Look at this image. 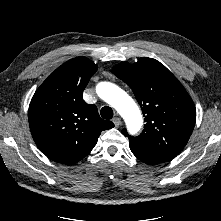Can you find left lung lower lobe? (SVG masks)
Instances as JSON below:
<instances>
[{
	"label": "left lung lower lobe",
	"mask_w": 221,
	"mask_h": 221,
	"mask_svg": "<svg viewBox=\"0 0 221 221\" xmlns=\"http://www.w3.org/2000/svg\"><path fill=\"white\" fill-rule=\"evenodd\" d=\"M130 149L132 153L142 162L149 165H157L163 162H168L173 158L162 153L156 152L145 144L134 138L129 137Z\"/></svg>",
	"instance_id": "left-lung-lower-lobe-1"
}]
</instances>
